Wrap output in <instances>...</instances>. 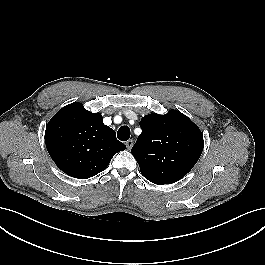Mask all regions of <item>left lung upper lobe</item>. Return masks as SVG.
<instances>
[{"label":"left lung upper lobe","instance_id":"5c2ea615","mask_svg":"<svg viewBox=\"0 0 265 265\" xmlns=\"http://www.w3.org/2000/svg\"><path fill=\"white\" fill-rule=\"evenodd\" d=\"M142 133L131 153L141 174L158 185L184 177L198 161L203 147L200 129L184 114L170 110L165 115L148 114L139 123Z\"/></svg>","mask_w":265,"mask_h":265}]
</instances>
